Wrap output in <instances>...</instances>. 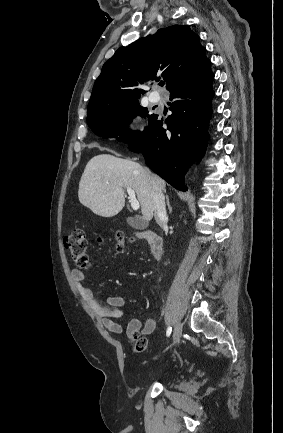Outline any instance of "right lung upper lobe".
<instances>
[{
	"mask_svg": "<svg viewBox=\"0 0 283 433\" xmlns=\"http://www.w3.org/2000/svg\"><path fill=\"white\" fill-rule=\"evenodd\" d=\"M206 49L187 25L159 29L138 41L120 47L105 62L87 107L95 111L138 101L145 91L137 86L160 74L169 92L188 88L212 75Z\"/></svg>",
	"mask_w": 283,
	"mask_h": 433,
	"instance_id": "cb5924a9",
	"label": "right lung upper lobe"
}]
</instances>
